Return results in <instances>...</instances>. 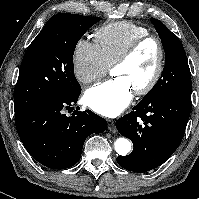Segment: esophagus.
Instances as JSON below:
<instances>
[{
	"label": "esophagus",
	"mask_w": 199,
	"mask_h": 199,
	"mask_svg": "<svg viewBox=\"0 0 199 199\" xmlns=\"http://www.w3.org/2000/svg\"><path fill=\"white\" fill-rule=\"evenodd\" d=\"M108 130L114 131L115 130V122L114 120L108 119L107 120Z\"/></svg>",
	"instance_id": "1"
}]
</instances>
